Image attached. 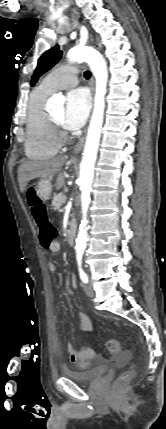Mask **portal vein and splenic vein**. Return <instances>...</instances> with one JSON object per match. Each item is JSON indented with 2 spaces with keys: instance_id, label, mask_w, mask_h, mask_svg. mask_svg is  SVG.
I'll return each instance as SVG.
<instances>
[{
  "instance_id": "18ae733b",
  "label": "portal vein and splenic vein",
  "mask_w": 166,
  "mask_h": 429,
  "mask_svg": "<svg viewBox=\"0 0 166 429\" xmlns=\"http://www.w3.org/2000/svg\"><path fill=\"white\" fill-rule=\"evenodd\" d=\"M65 201H66V197L64 196L62 202L65 203Z\"/></svg>"
}]
</instances>
